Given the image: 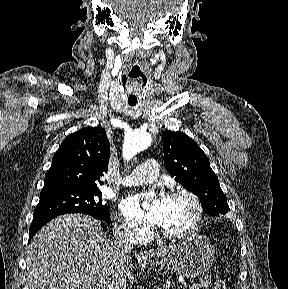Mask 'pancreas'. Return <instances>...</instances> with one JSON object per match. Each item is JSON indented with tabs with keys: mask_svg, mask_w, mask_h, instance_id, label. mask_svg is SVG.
I'll return each instance as SVG.
<instances>
[{
	"mask_svg": "<svg viewBox=\"0 0 288 289\" xmlns=\"http://www.w3.org/2000/svg\"><path fill=\"white\" fill-rule=\"evenodd\" d=\"M210 275H206L204 278L199 280V283L193 284L189 289H208L210 285Z\"/></svg>",
	"mask_w": 288,
	"mask_h": 289,
	"instance_id": "1",
	"label": "pancreas"
}]
</instances>
